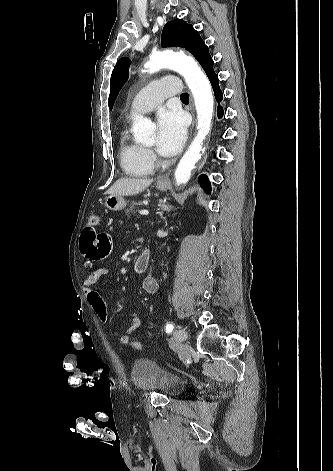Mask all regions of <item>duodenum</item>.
<instances>
[{"label": "duodenum", "mask_w": 333, "mask_h": 471, "mask_svg": "<svg viewBox=\"0 0 333 471\" xmlns=\"http://www.w3.org/2000/svg\"><path fill=\"white\" fill-rule=\"evenodd\" d=\"M150 252L145 250L141 255H139L133 263V270L137 273L144 272L150 263Z\"/></svg>", "instance_id": "410a0bca"}]
</instances>
